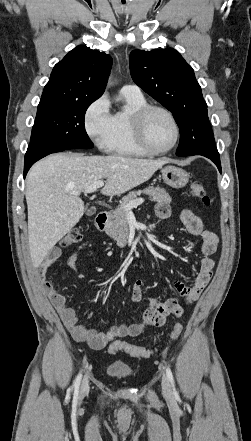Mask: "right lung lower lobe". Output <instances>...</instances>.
Wrapping results in <instances>:
<instances>
[{
	"mask_svg": "<svg viewBox=\"0 0 251 441\" xmlns=\"http://www.w3.org/2000/svg\"><path fill=\"white\" fill-rule=\"evenodd\" d=\"M66 149L48 146V145H40V144H30L28 146L27 152L25 154V163H24V178L30 169V167L39 159L56 152H62Z\"/></svg>",
	"mask_w": 251,
	"mask_h": 441,
	"instance_id": "98d812e1",
	"label": "right lung lower lobe"
}]
</instances>
